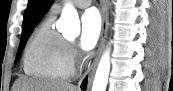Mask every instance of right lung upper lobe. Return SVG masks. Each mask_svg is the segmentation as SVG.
Listing matches in <instances>:
<instances>
[{
  "instance_id": "right-lung-upper-lobe-1",
  "label": "right lung upper lobe",
  "mask_w": 173,
  "mask_h": 91,
  "mask_svg": "<svg viewBox=\"0 0 173 91\" xmlns=\"http://www.w3.org/2000/svg\"><path fill=\"white\" fill-rule=\"evenodd\" d=\"M54 0H36L34 1V5L28 15L27 22L24 26V32L22 34L25 35L26 33H29L33 31L37 23L41 20V18L44 16L46 11L49 9V7L52 5Z\"/></svg>"
}]
</instances>
